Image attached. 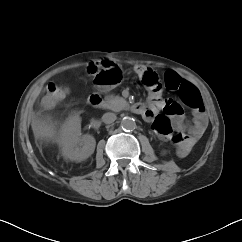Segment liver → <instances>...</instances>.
I'll use <instances>...</instances> for the list:
<instances>
[{"instance_id":"obj_1","label":"liver","mask_w":242,"mask_h":242,"mask_svg":"<svg viewBox=\"0 0 242 242\" xmlns=\"http://www.w3.org/2000/svg\"><path fill=\"white\" fill-rule=\"evenodd\" d=\"M31 127L36 139H44L46 141L57 140L56 124H54L49 118L40 119L33 116Z\"/></svg>"}]
</instances>
